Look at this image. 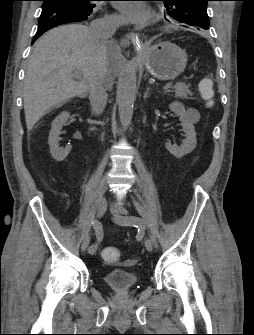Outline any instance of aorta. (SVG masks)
I'll return each mask as SVG.
<instances>
[{
  "label": "aorta",
  "mask_w": 254,
  "mask_h": 335,
  "mask_svg": "<svg viewBox=\"0 0 254 335\" xmlns=\"http://www.w3.org/2000/svg\"><path fill=\"white\" fill-rule=\"evenodd\" d=\"M137 88V66L132 62L126 69L119 84L117 103L120 122L124 127L130 125Z\"/></svg>",
  "instance_id": "aorta-1"
}]
</instances>
